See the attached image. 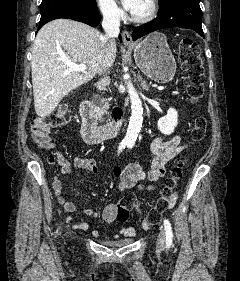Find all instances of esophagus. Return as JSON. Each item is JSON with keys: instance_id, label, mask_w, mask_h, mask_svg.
I'll return each mask as SVG.
<instances>
[{"instance_id": "1", "label": "esophagus", "mask_w": 240, "mask_h": 281, "mask_svg": "<svg viewBox=\"0 0 240 281\" xmlns=\"http://www.w3.org/2000/svg\"><path fill=\"white\" fill-rule=\"evenodd\" d=\"M122 38L125 46H134L131 34L127 30H123Z\"/></svg>"}]
</instances>
